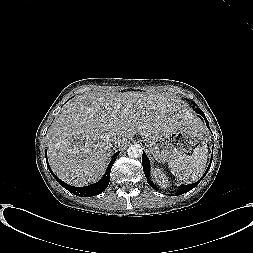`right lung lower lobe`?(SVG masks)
<instances>
[{"mask_svg":"<svg viewBox=\"0 0 253 253\" xmlns=\"http://www.w3.org/2000/svg\"><path fill=\"white\" fill-rule=\"evenodd\" d=\"M118 154H119V152H117L113 155L112 160L110 161L108 168H107L105 174L103 175L102 179L95 184H91V185L85 186V187H74V186H70V185L66 184L65 182L61 181L55 175H53V176L61 184V186H63L68 191H70L71 193H74L78 196H88L89 197V196L98 195V194L102 193L107 188V186L109 184L111 168H112V165L114 164V162L116 161V156ZM48 168H49L51 174H53L49 165H48Z\"/></svg>","mask_w":253,"mask_h":253,"instance_id":"obj_1","label":"right lung lower lobe"}]
</instances>
